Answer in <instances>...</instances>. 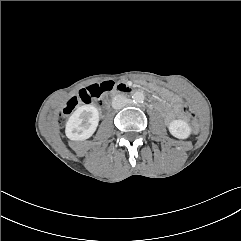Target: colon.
I'll return each mask as SVG.
<instances>
[{
	"label": "colon",
	"mask_w": 241,
	"mask_h": 241,
	"mask_svg": "<svg viewBox=\"0 0 241 241\" xmlns=\"http://www.w3.org/2000/svg\"><path fill=\"white\" fill-rule=\"evenodd\" d=\"M113 83L111 81H106L103 83L92 84L80 91L77 97L70 99L66 105L60 111V121L62 122L67 116L74 112V110L82 104H90L92 102H100V97L105 93L110 91ZM183 115L189 118V131L191 133H196L198 131V118L195 116V112L190 105H185L183 107Z\"/></svg>",
	"instance_id": "colon-1"
}]
</instances>
